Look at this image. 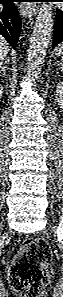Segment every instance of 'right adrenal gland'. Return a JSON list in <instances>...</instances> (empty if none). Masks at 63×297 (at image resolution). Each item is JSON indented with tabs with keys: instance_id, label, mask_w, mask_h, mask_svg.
Returning <instances> with one entry per match:
<instances>
[{
	"instance_id": "obj_1",
	"label": "right adrenal gland",
	"mask_w": 63,
	"mask_h": 297,
	"mask_svg": "<svg viewBox=\"0 0 63 297\" xmlns=\"http://www.w3.org/2000/svg\"><path fill=\"white\" fill-rule=\"evenodd\" d=\"M6 69H7V65H3L0 67V76H6Z\"/></svg>"
}]
</instances>
